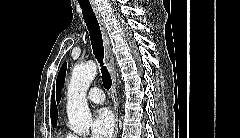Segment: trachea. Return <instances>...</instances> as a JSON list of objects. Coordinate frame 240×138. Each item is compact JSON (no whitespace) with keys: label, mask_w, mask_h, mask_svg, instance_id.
Returning a JSON list of instances; mask_svg holds the SVG:
<instances>
[{"label":"trachea","mask_w":240,"mask_h":138,"mask_svg":"<svg viewBox=\"0 0 240 138\" xmlns=\"http://www.w3.org/2000/svg\"><path fill=\"white\" fill-rule=\"evenodd\" d=\"M80 7L82 9L83 18L85 20L86 26L89 31L93 53L101 67V73H102L101 78H102L103 86L107 90H109L112 85V80L103 62L104 47H103V40H102V34L99 27V23L97 21L96 15L93 12L91 5L80 4Z\"/></svg>","instance_id":"3493384b"}]
</instances>
